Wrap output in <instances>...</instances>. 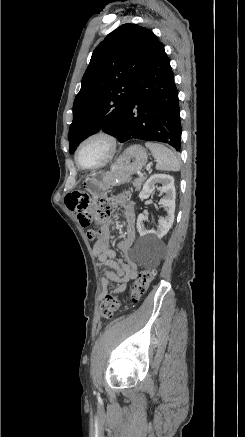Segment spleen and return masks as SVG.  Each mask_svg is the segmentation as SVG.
I'll use <instances>...</instances> for the list:
<instances>
[{"mask_svg":"<svg viewBox=\"0 0 245 437\" xmlns=\"http://www.w3.org/2000/svg\"><path fill=\"white\" fill-rule=\"evenodd\" d=\"M145 146L151 151L153 157L157 160V170H180V159L171 149L155 142H146Z\"/></svg>","mask_w":245,"mask_h":437,"instance_id":"obj_1","label":"spleen"}]
</instances>
